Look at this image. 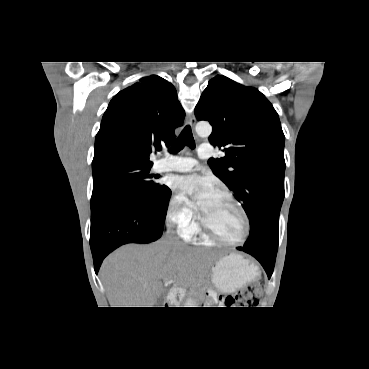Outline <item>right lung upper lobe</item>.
Instances as JSON below:
<instances>
[{
    "mask_svg": "<svg viewBox=\"0 0 369 369\" xmlns=\"http://www.w3.org/2000/svg\"><path fill=\"white\" fill-rule=\"evenodd\" d=\"M184 111L174 86L151 75L120 91L104 113L95 139L92 165L127 161L150 165V153L170 146Z\"/></svg>",
    "mask_w": 369,
    "mask_h": 369,
    "instance_id": "right-lung-upper-lobe-1",
    "label": "right lung upper lobe"
}]
</instances>
